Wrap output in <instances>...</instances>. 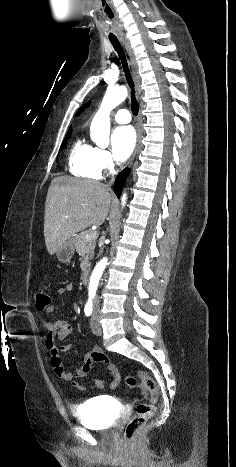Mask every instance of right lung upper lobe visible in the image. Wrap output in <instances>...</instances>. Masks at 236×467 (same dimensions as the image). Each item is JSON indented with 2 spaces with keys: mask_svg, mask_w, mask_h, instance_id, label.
I'll return each instance as SVG.
<instances>
[{
  "mask_svg": "<svg viewBox=\"0 0 236 467\" xmlns=\"http://www.w3.org/2000/svg\"><path fill=\"white\" fill-rule=\"evenodd\" d=\"M70 132H71V127L69 128V131L67 132V134L70 133Z\"/></svg>",
  "mask_w": 236,
  "mask_h": 467,
  "instance_id": "cb5924a9",
  "label": "right lung upper lobe"
}]
</instances>
